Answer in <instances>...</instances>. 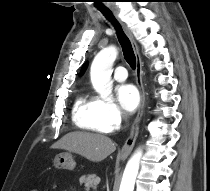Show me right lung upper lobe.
<instances>
[{
    "label": "right lung upper lobe",
    "mask_w": 210,
    "mask_h": 191,
    "mask_svg": "<svg viewBox=\"0 0 210 191\" xmlns=\"http://www.w3.org/2000/svg\"><path fill=\"white\" fill-rule=\"evenodd\" d=\"M86 67H87V63H86V64H84V66H83V68H82L81 73H83V72H84V70L86 69Z\"/></svg>",
    "instance_id": "right-lung-upper-lobe-1"
}]
</instances>
